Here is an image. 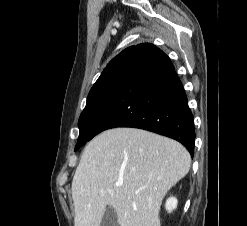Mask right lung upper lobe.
Returning <instances> with one entry per match:
<instances>
[{"instance_id":"right-lung-upper-lobe-1","label":"right lung upper lobe","mask_w":247,"mask_h":226,"mask_svg":"<svg viewBox=\"0 0 247 226\" xmlns=\"http://www.w3.org/2000/svg\"><path fill=\"white\" fill-rule=\"evenodd\" d=\"M134 49V46H131L125 50H123L120 54H118L114 59H112L109 64L106 66L102 74L109 69L115 62L119 61L120 59L127 58L129 57V54L131 51Z\"/></svg>"}]
</instances>
